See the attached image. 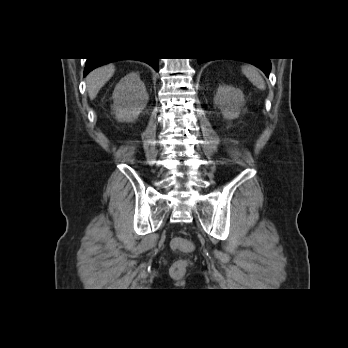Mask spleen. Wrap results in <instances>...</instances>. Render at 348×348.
<instances>
[{
    "label": "spleen",
    "mask_w": 348,
    "mask_h": 348,
    "mask_svg": "<svg viewBox=\"0 0 348 348\" xmlns=\"http://www.w3.org/2000/svg\"><path fill=\"white\" fill-rule=\"evenodd\" d=\"M242 72L254 86L260 90H265V81L259 74L256 67L252 65H244L242 66Z\"/></svg>",
    "instance_id": "3e777b00"
}]
</instances>
